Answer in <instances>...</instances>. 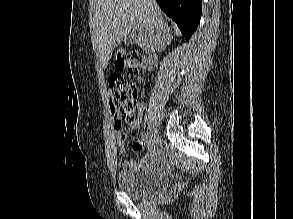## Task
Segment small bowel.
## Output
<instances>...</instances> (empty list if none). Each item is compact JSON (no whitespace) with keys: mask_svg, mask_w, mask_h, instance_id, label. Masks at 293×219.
Listing matches in <instances>:
<instances>
[{"mask_svg":"<svg viewBox=\"0 0 293 219\" xmlns=\"http://www.w3.org/2000/svg\"><path fill=\"white\" fill-rule=\"evenodd\" d=\"M144 109H145L144 104L142 102H139L137 104L136 116L130 126L131 129H137L141 125L143 115H144ZM111 114H112L113 121H114V123H113L114 130H115L116 136H117V145H118L120 153L124 154L125 153V141H126L128 133L122 132V130H121L122 124L119 120V113H118L116 106L113 104H111ZM146 144H147V137H146V135L143 134L132 145V151L139 152L145 147ZM121 164L123 166H132V165H135L136 162L134 160L123 159L121 161Z\"/></svg>","mask_w":293,"mask_h":219,"instance_id":"obj_1","label":"small bowel"}]
</instances>
